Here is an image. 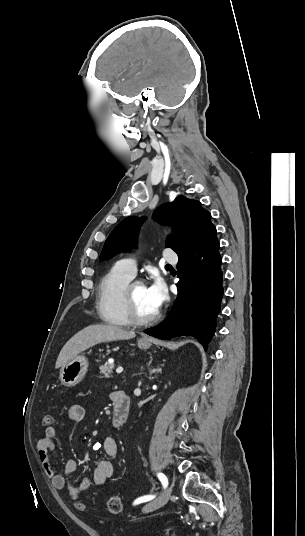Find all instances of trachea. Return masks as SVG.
<instances>
[{"mask_svg": "<svg viewBox=\"0 0 305 536\" xmlns=\"http://www.w3.org/2000/svg\"><path fill=\"white\" fill-rule=\"evenodd\" d=\"M165 267H166V269L174 270V268L171 265H166Z\"/></svg>", "mask_w": 305, "mask_h": 536, "instance_id": "obj_1", "label": "trachea"}]
</instances>
